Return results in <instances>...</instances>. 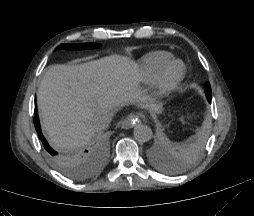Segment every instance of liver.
Here are the masks:
<instances>
[{
    "instance_id": "liver-1",
    "label": "liver",
    "mask_w": 254,
    "mask_h": 216,
    "mask_svg": "<svg viewBox=\"0 0 254 216\" xmlns=\"http://www.w3.org/2000/svg\"><path fill=\"white\" fill-rule=\"evenodd\" d=\"M137 65L111 55L79 65H52L37 93L42 127L53 145L73 150L95 134L91 118L100 110H115L140 98Z\"/></svg>"
}]
</instances>
